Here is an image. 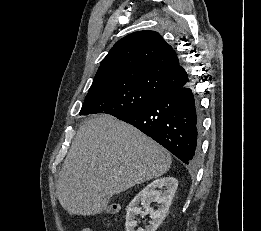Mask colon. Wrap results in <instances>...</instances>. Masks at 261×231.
<instances>
[{"label":"colon","mask_w":261,"mask_h":231,"mask_svg":"<svg viewBox=\"0 0 261 231\" xmlns=\"http://www.w3.org/2000/svg\"><path fill=\"white\" fill-rule=\"evenodd\" d=\"M103 212L105 214H115L118 212V208L116 205L114 204H110L107 207L104 208Z\"/></svg>","instance_id":"obj_1"}]
</instances>
